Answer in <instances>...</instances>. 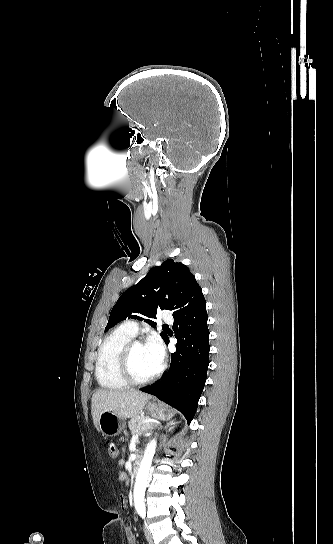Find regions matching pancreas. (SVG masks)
Masks as SVG:
<instances>
[{
  "mask_svg": "<svg viewBox=\"0 0 333 544\" xmlns=\"http://www.w3.org/2000/svg\"><path fill=\"white\" fill-rule=\"evenodd\" d=\"M152 427L153 422L149 416H138L132 419L129 423V429L133 435L138 433L140 430H148Z\"/></svg>",
  "mask_w": 333,
  "mask_h": 544,
  "instance_id": "pancreas-1",
  "label": "pancreas"
}]
</instances>
